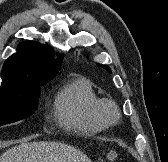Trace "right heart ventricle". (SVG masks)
I'll use <instances>...</instances> for the list:
<instances>
[{"label":"right heart ventricle","mask_w":168,"mask_h":162,"mask_svg":"<svg viewBox=\"0 0 168 162\" xmlns=\"http://www.w3.org/2000/svg\"><path fill=\"white\" fill-rule=\"evenodd\" d=\"M99 101L91 81L84 77H71L55 98L54 114L67 129L82 134L97 133L107 127L98 112Z\"/></svg>","instance_id":"right-heart-ventricle-1"}]
</instances>
